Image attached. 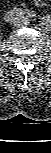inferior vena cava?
I'll return each instance as SVG.
<instances>
[{
    "label": "inferior vena cava",
    "mask_w": 51,
    "mask_h": 153,
    "mask_svg": "<svg viewBox=\"0 0 51 153\" xmlns=\"http://www.w3.org/2000/svg\"><path fill=\"white\" fill-rule=\"evenodd\" d=\"M29 24V18L25 15H18L13 20V25L16 27H23Z\"/></svg>",
    "instance_id": "inferior-vena-cava-1"
}]
</instances>
